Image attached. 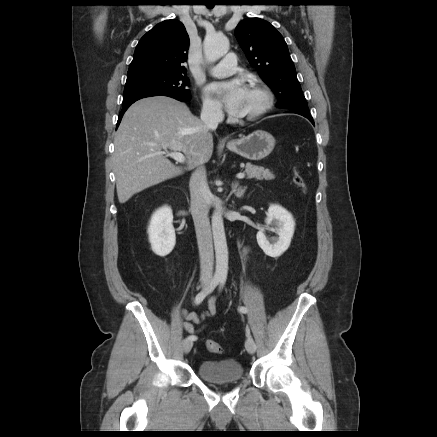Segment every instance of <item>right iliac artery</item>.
I'll use <instances>...</instances> for the list:
<instances>
[{
  "label": "right iliac artery",
  "mask_w": 437,
  "mask_h": 437,
  "mask_svg": "<svg viewBox=\"0 0 437 437\" xmlns=\"http://www.w3.org/2000/svg\"><path fill=\"white\" fill-rule=\"evenodd\" d=\"M219 282H220V278L219 277H214L211 280L210 284L205 289H203L201 292H199L196 295V297H195V304H197V305L200 304L205 299V297L209 293H211L217 287ZM188 339H191L192 341H195L197 339V337L194 336V335H191V336L188 337Z\"/></svg>",
  "instance_id": "1"
}]
</instances>
